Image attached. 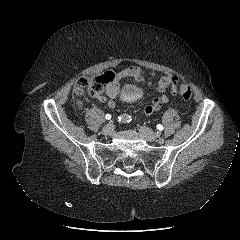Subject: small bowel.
<instances>
[{
    "label": "small bowel",
    "instance_id": "c3829d8e",
    "mask_svg": "<svg viewBox=\"0 0 240 240\" xmlns=\"http://www.w3.org/2000/svg\"><path fill=\"white\" fill-rule=\"evenodd\" d=\"M114 78L113 81L106 87V96L98 95L95 96L96 99L100 101H106L108 99L107 105L110 108L115 107V99L119 96L120 89L119 83L126 78H133L136 80H145L147 76H153V71H143L141 68L132 66L127 68H122L112 73ZM178 78L171 75H163L157 82H148L149 85H153L157 96L153 98L151 103L145 108V114L150 115L158 111L160 107L169 101V96L167 94V88L171 84L177 83Z\"/></svg>",
    "mask_w": 240,
    "mask_h": 240
}]
</instances>
